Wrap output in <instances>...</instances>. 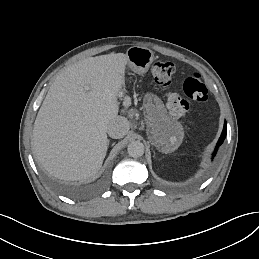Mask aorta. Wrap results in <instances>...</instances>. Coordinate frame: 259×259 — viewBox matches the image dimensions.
<instances>
[{
  "instance_id": "aorta-1",
  "label": "aorta",
  "mask_w": 259,
  "mask_h": 259,
  "mask_svg": "<svg viewBox=\"0 0 259 259\" xmlns=\"http://www.w3.org/2000/svg\"><path fill=\"white\" fill-rule=\"evenodd\" d=\"M127 150L131 157L138 158L144 154V145L141 141H132L129 143Z\"/></svg>"
}]
</instances>
